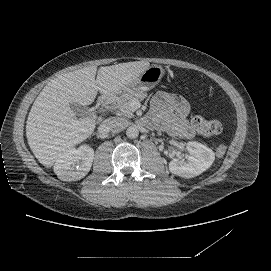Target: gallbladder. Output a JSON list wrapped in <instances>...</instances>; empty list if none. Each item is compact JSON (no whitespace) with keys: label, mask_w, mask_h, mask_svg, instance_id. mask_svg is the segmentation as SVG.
I'll return each mask as SVG.
<instances>
[{"label":"gallbladder","mask_w":271,"mask_h":271,"mask_svg":"<svg viewBox=\"0 0 271 271\" xmlns=\"http://www.w3.org/2000/svg\"><path fill=\"white\" fill-rule=\"evenodd\" d=\"M70 107H71L75 112H77V113H79V112H85V111H86L85 108L80 107V106L75 105V104H71Z\"/></svg>","instance_id":"gallbladder-1"}]
</instances>
